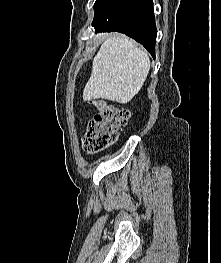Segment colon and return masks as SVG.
Returning <instances> with one entry per match:
<instances>
[{
	"label": "colon",
	"instance_id": "colon-1",
	"mask_svg": "<svg viewBox=\"0 0 221 263\" xmlns=\"http://www.w3.org/2000/svg\"><path fill=\"white\" fill-rule=\"evenodd\" d=\"M98 112L88 123L84 147L88 154H96L116 142L130 112L122 107L99 100L94 102Z\"/></svg>",
	"mask_w": 221,
	"mask_h": 263
}]
</instances>
